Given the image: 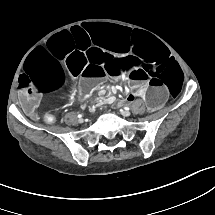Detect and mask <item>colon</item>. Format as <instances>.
Wrapping results in <instances>:
<instances>
[{
    "mask_svg": "<svg viewBox=\"0 0 215 215\" xmlns=\"http://www.w3.org/2000/svg\"><path fill=\"white\" fill-rule=\"evenodd\" d=\"M44 121L48 124H52L55 122V115L51 112H46L44 114Z\"/></svg>",
    "mask_w": 215,
    "mask_h": 215,
    "instance_id": "obj_1",
    "label": "colon"
}]
</instances>
